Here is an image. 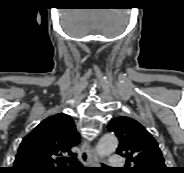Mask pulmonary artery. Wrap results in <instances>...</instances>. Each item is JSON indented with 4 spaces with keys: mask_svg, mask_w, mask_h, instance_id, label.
<instances>
[{
    "mask_svg": "<svg viewBox=\"0 0 184 173\" xmlns=\"http://www.w3.org/2000/svg\"><path fill=\"white\" fill-rule=\"evenodd\" d=\"M108 164L114 168H121L124 165V161L120 155H111Z\"/></svg>",
    "mask_w": 184,
    "mask_h": 173,
    "instance_id": "obj_1",
    "label": "pulmonary artery"
}]
</instances>
